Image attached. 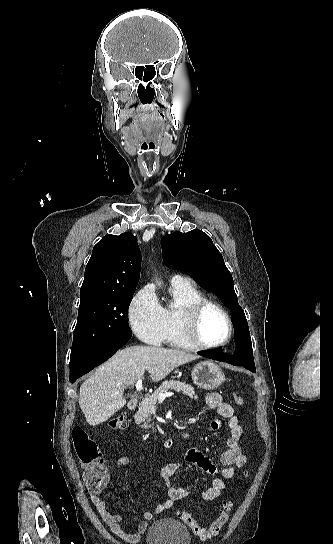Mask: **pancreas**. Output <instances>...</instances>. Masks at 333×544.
Wrapping results in <instances>:
<instances>
[{
    "mask_svg": "<svg viewBox=\"0 0 333 544\" xmlns=\"http://www.w3.org/2000/svg\"><path fill=\"white\" fill-rule=\"evenodd\" d=\"M169 390H175L176 392H182L184 395L188 396L191 399H198V396L195 395L194 388L191 385L185 384L180 381L169 380L163 382L159 388L155 390L152 395L145 397L139 407V410L135 416L136 424L144 423L142 428H150L151 425H148L146 422L151 421V415L155 410V405L160 393H166Z\"/></svg>",
    "mask_w": 333,
    "mask_h": 544,
    "instance_id": "1",
    "label": "pancreas"
}]
</instances>
